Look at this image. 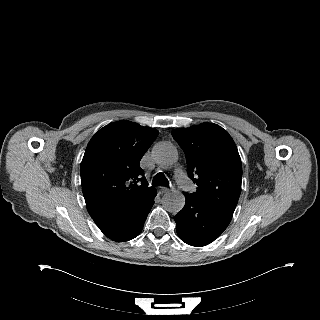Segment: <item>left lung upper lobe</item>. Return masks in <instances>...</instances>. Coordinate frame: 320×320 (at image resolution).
<instances>
[{"label":"left lung upper lobe","mask_w":320,"mask_h":320,"mask_svg":"<svg viewBox=\"0 0 320 320\" xmlns=\"http://www.w3.org/2000/svg\"><path fill=\"white\" fill-rule=\"evenodd\" d=\"M183 149L189 177L197 190L186 193L233 216L240 193L242 165L237 147L226 130L202 123L172 133Z\"/></svg>","instance_id":"obj_1"}]
</instances>
